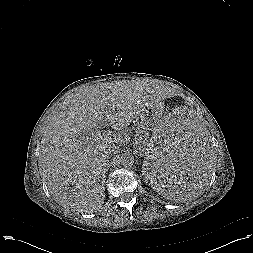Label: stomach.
<instances>
[{
    "label": "stomach",
    "mask_w": 253,
    "mask_h": 253,
    "mask_svg": "<svg viewBox=\"0 0 253 253\" xmlns=\"http://www.w3.org/2000/svg\"><path fill=\"white\" fill-rule=\"evenodd\" d=\"M162 109L157 107L156 104L147 107L141 113V121L149 126H154L159 120H161Z\"/></svg>",
    "instance_id": "0dacf381"
}]
</instances>
